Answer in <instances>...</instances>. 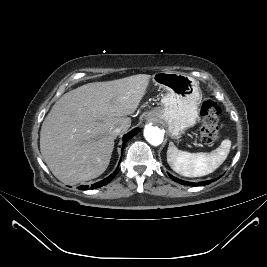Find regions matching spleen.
I'll return each instance as SVG.
<instances>
[{
  "label": "spleen",
  "mask_w": 267,
  "mask_h": 267,
  "mask_svg": "<svg viewBox=\"0 0 267 267\" xmlns=\"http://www.w3.org/2000/svg\"><path fill=\"white\" fill-rule=\"evenodd\" d=\"M231 141L225 139L210 153H189L169 143L167 162L178 174L186 177H201L214 172L227 158Z\"/></svg>",
  "instance_id": "spleen-1"
}]
</instances>
